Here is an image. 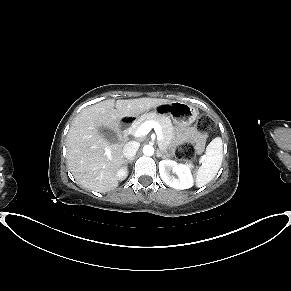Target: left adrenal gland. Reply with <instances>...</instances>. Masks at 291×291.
Returning <instances> with one entry per match:
<instances>
[{"label":"left adrenal gland","mask_w":291,"mask_h":291,"mask_svg":"<svg viewBox=\"0 0 291 291\" xmlns=\"http://www.w3.org/2000/svg\"><path fill=\"white\" fill-rule=\"evenodd\" d=\"M157 157L165 158V156L162 154L161 150H157Z\"/></svg>","instance_id":"left-adrenal-gland-1"}]
</instances>
